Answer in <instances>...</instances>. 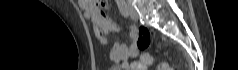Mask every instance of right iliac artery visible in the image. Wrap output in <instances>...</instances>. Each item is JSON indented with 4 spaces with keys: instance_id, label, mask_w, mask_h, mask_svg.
<instances>
[{
    "instance_id": "82829eb1",
    "label": "right iliac artery",
    "mask_w": 238,
    "mask_h": 70,
    "mask_svg": "<svg viewBox=\"0 0 238 70\" xmlns=\"http://www.w3.org/2000/svg\"><path fill=\"white\" fill-rule=\"evenodd\" d=\"M117 5H118V8H119V11L121 12V14L124 17H128L129 13H128V9H127V6L125 4V1L124 0H117Z\"/></svg>"
}]
</instances>
